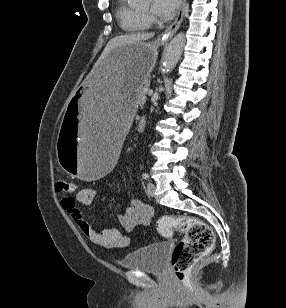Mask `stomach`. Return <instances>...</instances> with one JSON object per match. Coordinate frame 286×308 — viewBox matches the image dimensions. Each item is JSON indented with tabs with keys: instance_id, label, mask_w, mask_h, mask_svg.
I'll use <instances>...</instances> for the list:
<instances>
[{
	"instance_id": "1",
	"label": "stomach",
	"mask_w": 286,
	"mask_h": 308,
	"mask_svg": "<svg viewBox=\"0 0 286 308\" xmlns=\"http://www.w3.org/2000/svg\"><path fill=\"white\" fill-rule=\"evenodd\" d=\"M159 43L121 44L96 66L67 101L57 160L78 182H99L120 159L122 132L140 106L138 87L155 65ZM136 96V97H135Z\"/></svg>"
}]
</instances>
